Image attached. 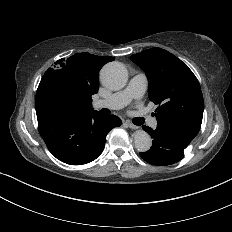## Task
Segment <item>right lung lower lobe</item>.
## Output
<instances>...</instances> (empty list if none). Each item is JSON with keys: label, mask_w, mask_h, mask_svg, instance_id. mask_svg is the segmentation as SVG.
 <instances>
[{"label": "right lung lower lobe", "mask_w": 232, "mask_h": 232, "mask_svg": "<svg viewBox=\"0 0 232 232\" xmlns=\"http://www.w3.org/2000/svg\"><path fill=\"white\" fill-rule=\"evenodd\" d=\"M36 114L40 135L49 151L71 165L95 160L103 151L108 132L121 125L117 116H103L95 110L50 107Z\"/></svg>", "instance_id": "obj_1"}]
</instances>
